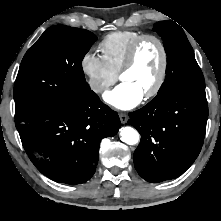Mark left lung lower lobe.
Segmentation results:
<instances>
[{"mask_svg": "<svg viewBox=\"0 0 221 221\" xmlns=\"http://www.w3.org/2000/svg\"><path fill=\"white\" fill-rule=\"evenodd\" d=\"M129 116L128 123L141 134L134 165L143 179L177 178L199 155L208 118L205 94L167 90Z\"/></svg>", "mask_w": 221, "mask_h": 221, "instance_id": "0a47b994", "label": "left lung lower lobe"}]
</instances>
